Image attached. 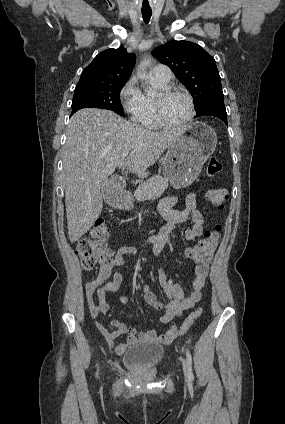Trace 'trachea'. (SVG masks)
I'll return each instance as SVG.
<instances>
[{
  "label": "trachea",
  "mask_w": 285,
  "mask_h": 424,
  "mask_svg": "<svg viewBox=\"0 0 285 424\" xmlns=\"http://www.w3.org/2000/svg\"><path fill=\"white\" fill-rule=\"evenodd\" d=\"M141 12H142V17H143L144 22L148 23L150 18H151L152 11L148 10V11H141Z\"/></svg>",
  "instance_id": "trachea-1"
}]
</instances>
